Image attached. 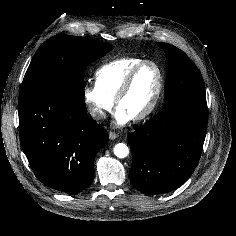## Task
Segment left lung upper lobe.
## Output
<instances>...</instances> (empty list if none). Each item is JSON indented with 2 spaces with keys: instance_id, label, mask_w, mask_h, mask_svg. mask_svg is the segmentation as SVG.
<instances>
[{
  "instance_id": "5c2ea615",
  "label": "left lung upper lobe",
  "mask_w": 236,
  "mask_h": 236,
  "mask_svg": "<svg viewBox=\"0 0 236 236\" xmlns=\"http://www.w3.org/2000/svg\"><path fill=\"white\" fill-rule=\"evenodd\" d=\"M168 60L164 92L166 104L187 97H206L201 73L188 56L177 47L158 42Z\"/></svg>"
}]
</instances>
